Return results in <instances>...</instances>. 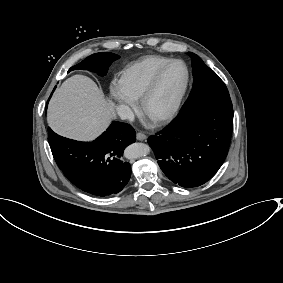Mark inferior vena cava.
Returning <instances> with one entry per match:
<instances>
[{
    "instance_id": "obj_1",
    "label": "inferior vena cava",
    "mask_w": 283,
    "mask_h": 283,
    "mask_svg": "<svg viewBox=\"0 0 283 283\" xmlns=\"http://www.w3.org/2000/svg\"><path fill=\"white\" fill-rule=\"evenodd\" d=\"M117 113L121 119L128 120L129 122H132L134 119L132 110L126 105L118 106Z\"/></svg>"
}]
</instances>
